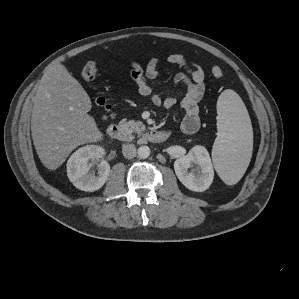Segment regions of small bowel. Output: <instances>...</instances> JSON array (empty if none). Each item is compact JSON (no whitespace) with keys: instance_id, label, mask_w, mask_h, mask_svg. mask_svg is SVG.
Segmentation results:
<instances>
[{"instance_id":"1","label":"small bowel","mask_w":299,"mask_h":299,"mask_svg":"<svg viewBox=\"0 0 299 299\" xmlns=\"http://www.w3.org/2000/svg\"><path fill=\"white\" fill-rule=\"evenodd\" d=\"M167 61L184 69L174 77V82L184 84L186 93L180 100L179 105L183 111L181 128L187 134H193L200 127L198 104L204 96L206 90L204 70L195 63H190L182 54L172 53L167 57ZM159 73V59L151 58L145 67L138 62L131 63L130 76L137 86L138 92L143 97H147L155 106H164L171 109L177 104L174 97L162 98L158 93L152 91L149 82L155 79Z\"/></svg>"}]
</instances>
